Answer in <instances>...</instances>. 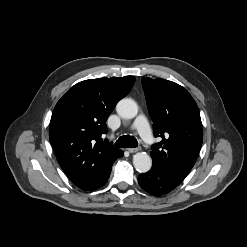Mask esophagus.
Here are the masks:
<instances>
[{
  "instance_id": "34e87169",
  "label": "esophagus",
  "mask_w": 247,
  "mask_h": 247,
  "mask_svg": "<svg viewBox=\"0 0 247 247\" xmlns=\"http://www.w3.org/2000/svg\"><path fill=\"white\" fill-rule=\"evenodd\" d=\"M140 150V148H128L127 151L130 153H135L138 152Z\"/></svg>"
}]
</instances>
